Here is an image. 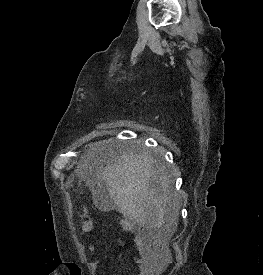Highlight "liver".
I'll return each instance as SVG.
<instances>
[{"instance_id":"obj_1","label":"liver","mask_w":263,"mask_h":275,"mask_svg":"<svg viewBox=\"0 0 263 275\" xmlns=\"http://www.w3.org/2000/svg\"><path fill=\"white\" fill-rule=\"evenodd\" d=\"M85 172L88 162L83 160L76 173L82 176ZM100 176L115 205L130 221L148 228L177 226L179 205L172 202L167 172L151 155L121 152L108 160Z\"/></svg>"}]
</instances>
